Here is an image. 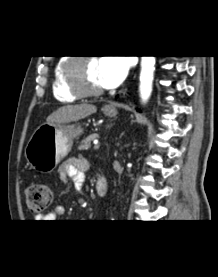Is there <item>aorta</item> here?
<instances>
[{"label":"aorta","mask_w":218,"mask_h":277,"mask_svg":"<svg viewBox=\"0 0 218 277\" xmlns=\"http://www.w3.org/2000/svg\"><path fill=\"white\" fill-rule=\"evenodd\" d=\"M154 70L155 56H142L139 89L143 102H146L151 96Z\"/></svg>","instance_id":"aorta-1"}]
</instances>
